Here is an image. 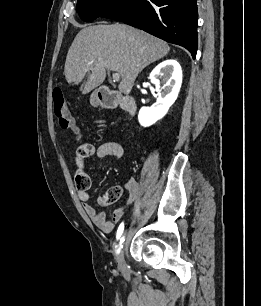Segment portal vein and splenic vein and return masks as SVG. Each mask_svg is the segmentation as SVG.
I'll use <instances>...</instances> for the list:
<instances>
[{
	"label": "portal vein and splenic vein",
	"instance_id": "1",
	"mask_svg": "<svg viewBox=\"0 0 261 306\" xmlns=\"http://www.w3.org/2000/svg\"><path fill=\"white\" fill-rule=\"evenodd\" d=\"M90 65H91V63H90ZM112 77H113L114 81H119L120 80V74L119 73H113Z\"/></svg>",
	"mask_w": 261,
	"mask_h": 306
}]
</instances>
